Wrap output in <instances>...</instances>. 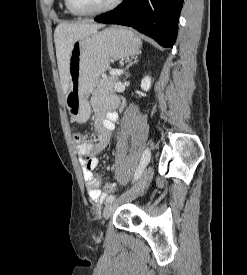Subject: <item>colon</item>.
Wrapping results in <instances>:
<instances>
[{"label":"colon","mask_w":247,"mask_h":275,"mask_svg":"<svg viewBox=\"0 0 247 275\" xmlns=\"http://www.w3.org/2000/svg\"><path fill=\"white\" fill-rule=\"evenodd\" d=\"M85 140V135L81 132H74L73 133V141L77 145H82ZM116 189V186L114 183H109L105 186V192L106 193H113Z\"/></svg>","instance_id":"5ec220e1"}]
</instances>
